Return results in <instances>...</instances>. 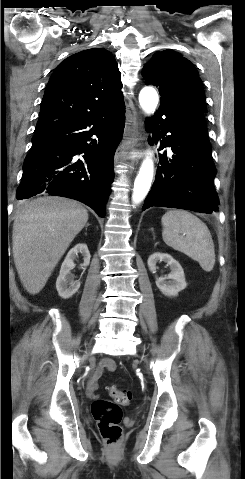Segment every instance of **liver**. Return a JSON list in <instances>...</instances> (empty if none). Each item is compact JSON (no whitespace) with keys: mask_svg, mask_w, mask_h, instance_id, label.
Masks as SVG:
<instances>
[{"mask_svg":"<svg viewBox=\"0 0 245 479\" xmlns=\"http://www.w3.org/2000/svg\"><path fill=\"white\" fill-rule=\"evenodd\" d=\"M87 221V210L63 197H41L19 206L13 223V258L27 292L37 294L44 288Z\"/></svg>","mask_w":245,"mask_h":479,"instance_id":"liver-1","label":"liver"}]
</instances>
